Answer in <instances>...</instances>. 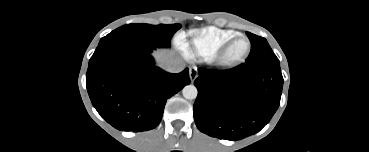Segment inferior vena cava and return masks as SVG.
Wrapping results in <instances>:
<instances>
[{"label":"inferior vena cava","instance_id":"inferior-vena-cava-1","mask_svg":"<svg viewBox=\"0 0 369 152\" xmlns=\"http://www.w3.org/2000/svg\"><path fill=\"white\" fill-rule=\"evenodd\" d=\"M164 69L171 73H177L184 69L185 65L177 59L167 60L162 65Z\"/></svg>","mask_w":369,"mask_h":152}]
</instances>
